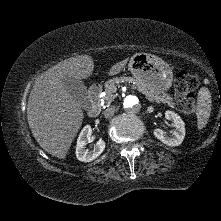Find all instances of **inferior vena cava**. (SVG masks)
I'll return each instance as SVG.
<instances>
[{"mask_svg":"<svg viewBox=\"0 0 221 221\" xmlns=\"http://www.w3.org/2000/svg\"><path fill=\"white\" fill-rule=\"evenodd\" d=\"M115 111H116V107L115 106H110V107L106 108L104 110V112H103L104 117L106 119L111 118L114 115Z\"/></svg>","mask_w":221,"mask_h":221,"instance_id":"602c4592","label":"inferior vena cava"}]
</instances>
